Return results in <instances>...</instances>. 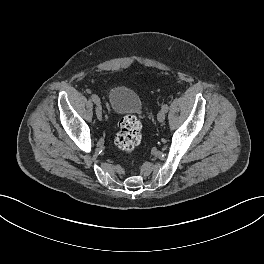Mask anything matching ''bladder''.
<instances>
[{
	"instance_id": "1",
	"label": "bladder",
	"mask_w": 264,
	"mask_h": 264,
	"mask_svg": "<svg viewBox=\"0 0 264 264\" xmlns=\"http://www.w3.org/2000/svg\"><path fill=\"white\" fill-rule=\"evenodd\" d=\"M109 105L116 114H135L142 110V100L133 89L116 85L109 90Z\"/></svg>"
}]
</instances>
